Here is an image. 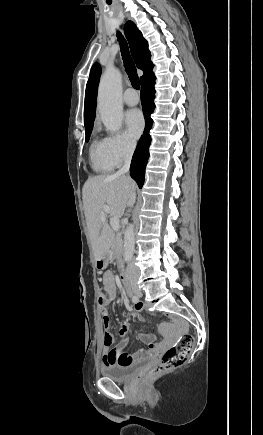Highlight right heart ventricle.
<instances>
[{
  "label": "right heart ventricle",
  "instance_id": "1",
  "mask_svg": "<svg viewBox=\"0 0 263 435\" xmlns=\"http://www.w3.org/2000/svg\"><path fill=\"white\" fill-rule=\"evenodd\" d=\"M89 157L91 167L95 172L108 173L115 167L109 157L105 139L94 137L90 145Z\"/></svg>",
  "mask_w": 263,
  "mask_h": 435
}]
</instances>
